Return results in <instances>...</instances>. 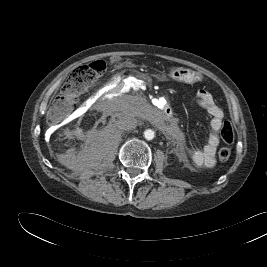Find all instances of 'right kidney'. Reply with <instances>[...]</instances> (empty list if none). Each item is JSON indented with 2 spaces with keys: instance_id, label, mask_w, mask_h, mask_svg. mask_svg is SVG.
<instances>
[{
  "instance_id": "1",
  "label": "right kidney",
  "mask_w": 267,
  "mask_h": 267,
  "mask_svg": "<svg viewBox=\"0 0 267 267\" xmlns=\"http://www.w3.org/2000/svg\"><path fill=\"white\" fill-rule=\"evenodd\" d=\"M81 132H82V130H81V129H78V130H77V133H78V134H80Z\"/></svg>"
}]
</instances>
